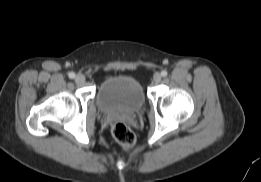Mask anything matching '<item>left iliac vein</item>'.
Returning a JSON list of instances; mask_svg holds the SVG:
<instances>
[{
    "label": "left iliac vein",
    "mask_w": 261,
    "mask_h": 182,
    "mask_svg": "<svg viewBox=\"0 0 261 182\" xmlns=\"http://www.w3.org/2000/svg\"><path fill=\"white\" fill-rule=\"evenodd\" d=\"M162 77H161V74L156 72L154 75H153V81L154 83L158 84L160 81H161Z\"/></svg>",
    "instance_id": "obj_1"
}]
</instances>
